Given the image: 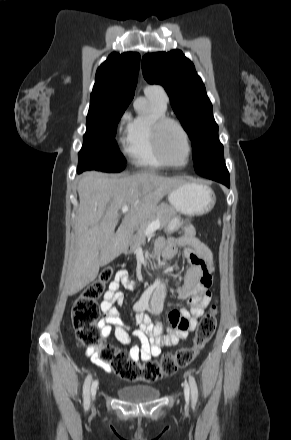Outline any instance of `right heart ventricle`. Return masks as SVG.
Instances as JSON below:
<instances>
[{
  "instance_id": "e07e8e85",
  "label": "right heart ventricle",
  "mask_w": 291,
  "mask_h": 440,
  "mask_svg": "<svg viewBox=\"0 0 291 440\" xmlns=\"http://www.w3.org/2000/svg\"><path fill=\"white\" fill-rule=\"evenodd\" d=\"M150 112L130 119L129 133L125 140L124 153L129 162L137 167L163 168L165 165L157 157L151 135L154 119L166 116V104L148 96Z\"/></svg>"
}]
</instances>
